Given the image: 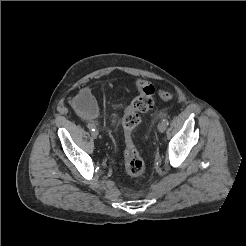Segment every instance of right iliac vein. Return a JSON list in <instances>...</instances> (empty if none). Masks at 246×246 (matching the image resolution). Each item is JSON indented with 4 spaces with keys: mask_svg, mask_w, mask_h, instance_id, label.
<instances>
[{
    "mask_svg": "<svg viewBox=\"0 0 246 246\" xmlns=\"http://www.w3.org/2000/svg\"><path fill=\"white\" fill-rule=\"evenodd\" d=\"M92 137L93 138H97L98 136V131L97 130H94L92 133H91Z\"/></svg>",
    "mask_w": 246,
    "mask_h": 246,
    "instance_id": "right-iliac-vein-1",
    "label": "right iliac vein"
}]
</instances>
